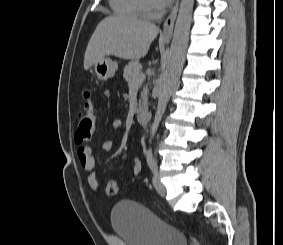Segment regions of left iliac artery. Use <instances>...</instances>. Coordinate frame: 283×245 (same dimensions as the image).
<instances>
[{"label":"left iliac artery","instance_id":"left-iliac-artery-1","mask_svg":"<svg viewBox=\"0 0 283 245\" xmlns=\"http://www.w3.org/2000/svg\"><path fill=\"white\" fill-rule=\"evenodd\" d=\"M147 164L153 172L157 170V162L153 156L152 150H148L147 152Z\"/></svg>","mask_w":283,"mask_h":245}]
</instances>
